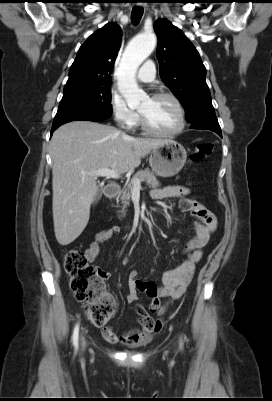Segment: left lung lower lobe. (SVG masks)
Listing matches in <instances>:
<instances>
[{
  "instance_id": "left-lung-lower-lobe-1",
  "label": "left lung lower lobe",
  "mask_w": 272,
  "mask_h": 401,
  "mask_svg": "<svg viewBox=\"0 0 272 401\" xmlns=\"http://www.w3.org/2000/svg\"><path fill=\"white\" fill-rule=\"evenodd\" d=\"M194 129H208L222 137L221 129L216 116L199 118L191 122Z\"/></svg>"
}]
</instances>
